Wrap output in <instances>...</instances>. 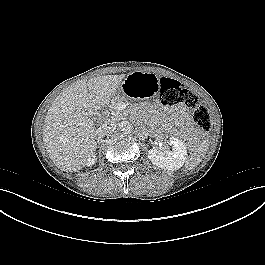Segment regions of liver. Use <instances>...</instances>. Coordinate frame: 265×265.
<instances>
[{"mask_svg": "<svg viewBox=\"0 0 265 265\" xmlns=\"http://www.w3.org/2000/svg\"><path fill=\"white\" fill-rule=\"evenodd\" d=\"M126 75H104L78 81L56 97L43 126V142L50 158L62 171L86 166L97 148L98 131L91 116L108 105Z\"/></svg>", "mask_w": 265, "mask_h": 265, "instance_id": "6515ba94", "label": "liver"}]
</instances>
